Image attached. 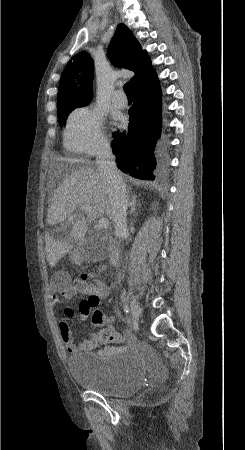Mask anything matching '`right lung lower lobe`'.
<instances>
[{
	"instance_id": "98d812e1",
	"label": "right lung lower lobe",
	"mask_w": 245,
	"mask_h": 450,
	"mask_svg": "<svg viewBox=\"0 0 245 450\" xmlns=\"http://www.w3.org/2000/svg\"><path fill=\"white\" fill-rule=\"evenodd\" d=\"M127 134L115 133L112 148L117 166L138 179L153 180L166 164V145L161 137V89L151 70L132 86Z\"/></svg>"
}]
</instances>
